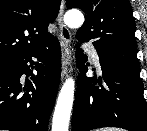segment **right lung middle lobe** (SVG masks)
I'll return each instance as SVG.
<instances>
[{"label":"right lung middle lobe","instance_id":"1","mask_svg":"<svg viewBox=\"0 0 147 131\" xmlns=\"http://www.w3.org/2000/svg\"><path fill=\"white\" fill-rule=\"evenodd\" d=\"M9 60L6 61H0V65L7 63Z\"/></svg>","mask_w":147,"mask_h":131}]
</instances>
